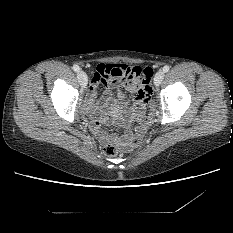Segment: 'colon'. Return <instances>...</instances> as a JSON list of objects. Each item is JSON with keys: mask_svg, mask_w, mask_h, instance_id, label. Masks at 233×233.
I'll return each mask as SVG.
<instances>
[{"mask_svg": "<svg viewBox=\"0 0 233 233\" xmlns=\"http://www.w3.org/2000/svg\"><path fill=\"white\" fill-rule=\"evenodd\" d=\"M143 71L148 81H150L154 74L153 69L151 67H145ZM125 79L136 81V77L130 71L125 73ZM150 93L151 88L149 85L143 88H139L136 99L138 101H147L149 99ZM103 152L108 156H115L119 153V149L115 145L108 144L103 148Z\"/></svg>", "mask_w": 233, "mask_h": 233, "instance_id": "5ec220e1", "label": "colon"}]
</instances>
